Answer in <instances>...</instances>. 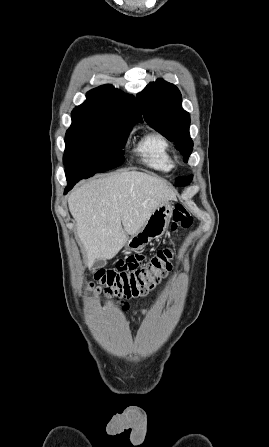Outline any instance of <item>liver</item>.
<instances>
[{
	"label": "liver",
	"instance_id": "1",
	"mask_svg": "<svg viewBox=\"0 0 269 447\" xmlns=\"http://www.w3.org/2000/svg\"><path fill=\"white\" fill-rule=\"evenodd\" d=\"M176 200L166 180L117 170L72 190L69 210L87 253L86 265L111 259L163 202ZM124 229H123V227Z\"/></svg>",
	"mask_w": 269,
	"mask_h": 447
}]
</instances>
